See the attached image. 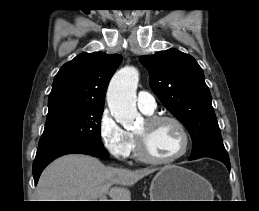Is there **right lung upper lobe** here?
Masks as SVG:
<instances>
[{
    "label": "right lung upper lobe",
    "instance_id": "right-lung-upper-lobe-1",
    "mask_svg": "<svg viewBox=\"0 0 259 211\" xmlns=\"http://www.w3.org/2000/svg\"><path fill=\"white\" fill-rule=\"evenodd\" d=\"M121 60L118 54L94 52L64 64L54 78L47 120L72 110L103 108L109 81Z\"/></svg>",
    "mask_w": 259,
    "mask_h": 211
}]
</instances>
